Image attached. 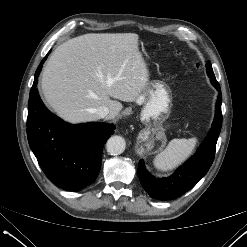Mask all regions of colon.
I'll list each match as a JSON object with an SVG mask.
<instances>
[{
    "label": "colon",
    "mask_w": 247,
    "mask_h": 247,
    "mask_svg": "<svg viewBox=\"0 0 247 247\" xmlns=\"http://www.w3.org/2000/svg\"><path fill=\"white\" fill-rule=\"evenodd\" d=\"M193 66L195 69H199V67H200L199 63L195 62V61L193 62Z\"/></svg>",
    "instance_id": "5ec220e1"
}]
</instances>
